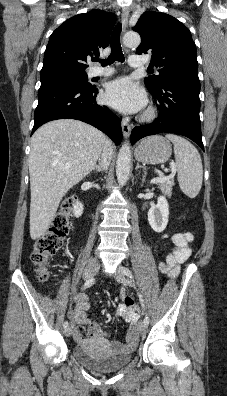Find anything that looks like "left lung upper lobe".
<instances>
[{"instance_id":"left-lung-upper-lobe-1","label":"left lung upper lobe","mask_w":227,"mask_h":396,"mask_svg":"<svg viewBox=\"0 0 227 396\" xmlns=\"http://www.w3.org/2000/svg\"><path fill=\"white\" fill-rule=\"evenodd\" d=\"M132 29L141 36L137 54L151 52V65L158 68L159 75L144 79L149 90L171 81L200 83L196 45L180 21L166 13L146 11Z\"/></svg>"}]
</instances>
